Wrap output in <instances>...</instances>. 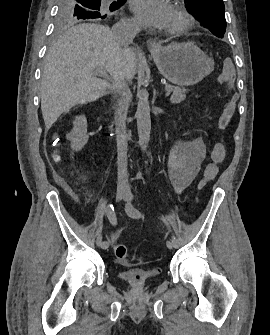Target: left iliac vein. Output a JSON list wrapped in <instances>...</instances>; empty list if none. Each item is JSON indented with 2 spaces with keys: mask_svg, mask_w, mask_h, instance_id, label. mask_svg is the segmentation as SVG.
<instances>
[{
  "mask_svg": "<svg viewBox=\"0 0 270 335\" xmlns=\"http://www.w3.org/2000/svg\"><path fill=\"white\" fill-rule=\"evenodd\" d=\"M124 200L126 202V212L127 214L130 216V217H133V218H136L134 217L131 213H130V206L132 205V201H133V195L131 194L130 191H127L125 197H124ZM166 245L169 249H173L174 248V245L171 241H167L166 242Z\"/></svg>",
  "mask_w": 270,
  "mask_h": 335,
  "instance_id": "obj_1",
  "label": "left iliac vein"
}]
</instances>
